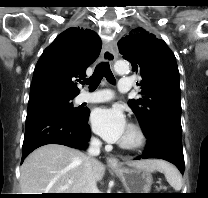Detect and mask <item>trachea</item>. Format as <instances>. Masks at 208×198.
<instances>
[{
  "instance_id": "obj_1",
  "label": "trachea",
  "mask_w": 208,
  "mask_h": 198,
  "mask_svg": "<svg viewBox=\"0 0 208 198\" xmlns=\"http://www.w3.org/2000/svg\"><path fill=\"white\" fill-rule=\"evenodd\" d=\"M105 77L108 82L115 83V78L110 69L109 63H100L94 70L93 75L82 81V84L89 85L91 91L95 90L100 84L102 78Z\"/></svg>"
}]
</instances>
